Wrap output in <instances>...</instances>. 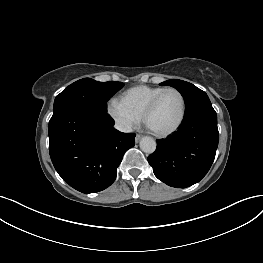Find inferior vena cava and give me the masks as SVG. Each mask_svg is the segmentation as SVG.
<instances>
[{"mask_svg":"<svg viewBox=\"0 0 263 263\" xmlns=\"http://www.w3.org/2000/svg\"><path fill=\"white\" fill-rule=\"evenodd\" d=\"M115 128L121 132H126V133L132 131V128L129 124H123V123L116 124Z\"/></svg>","mask_w":263,"mask_h":263,"instance_id":"inferior-vena-cava-1","label":"inferior vena cava"}]
</instances>
